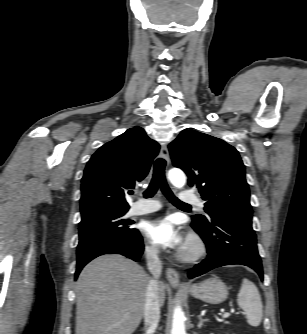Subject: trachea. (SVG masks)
Instances as JSON below:
<instances>
[{"label":"trachea","mask_w":307,"mask_h":334,"mask_svg":"<svg viewBox=\"0 0 307 334\" xmlns=\"http://www.w3.org/2000/svg\"><path fill=\"white\" fill-rule=\"evenodd\" d=\"M165 165L166 161L162 158H158L154 163L153 177L148 186V189L144 192L145 198H151L155 195L158 188L161 189L162 193L167 197V199L173 204L183 205L190 207L189 204H186L180 201L170 190L166 178H165Z\"/></svg>","instance_id":"obj_1"}]
</instances>
